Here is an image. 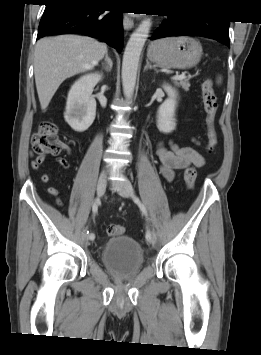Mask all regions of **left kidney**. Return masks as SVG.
Segmentation results:
<instances>
[{
	"instance_id": "left-kidney-1",
	"label": "left kidney",
	"mask_w": 261,
	"mask_h": 355,
	"mask_svg": "<svg viewBox=\"0 0 261 355\" xmlns=\"http://www.w3.org/2000/svg\"><path fill=\"white\" fill-rule=\"evenodd\" d=\"M168 98L160 105L157 112V128L160 132L170 133L176 127L175 110L177 105V92L169 85H163Z\"/></svg>"
}]
</instances>
